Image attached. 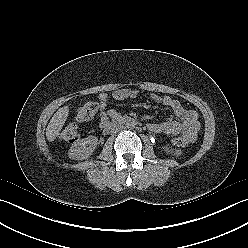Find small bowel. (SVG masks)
Instances as JSON below:
<instances>
[{
	"instance_id": "obj_1",
	"label": "small bowel",
	"mask_w": 248,
	"mask_h": 248,
	"mask_svg": "<svg viewBox=\"0 0 248 248\" xmlns=\"http://www.w3.org/2000/svg\"><path fill=\"white\" fill-rule=\"evenodd\" d=\"M136 90L129 88L118 89L113 92L112 98L116 101H123L137 97ZM110 96L107 93H101L98 96L99 100V125L105 127L111 119L118 117V113L113 109H107ZM151 99L158 104L172 109L177 120H169L164 122H151L148 124V129L157 134L178 135L188 139L189 142L196 140L200 123L198 121V113L195 110L186 109L183 105L169 96L151 95Z\"/></svg>"
}]
</instances>
